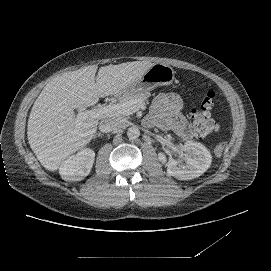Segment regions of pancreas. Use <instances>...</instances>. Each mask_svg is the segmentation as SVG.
Listing matches in <instances>:
<instances>
[{"instance_id": "1", "label": "pancreas", "mask_w": 271, "mask_h": 271, "mask_svg": "<svg viewBox=\"0 0 271 271\" xmlns=\"http://www.w3.org/2000/svg\"><path fill=\"white\" fill-rule=\"evenodd\" d=\"M148 97H150V94L148 92H136L123 95L122 97H120L119 101L120 103L131 100H142L144 102L147 100Z\"/></svg>"}]
</instances>
